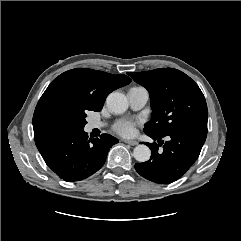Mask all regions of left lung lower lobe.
<instances>
[{
    "mask_svg": "<svg viewBox=\"0 0 241 241\" xmlns=\"http://www.w3.org/2000/svg\"><path fill=\"white\" fill-rule=\"evenodd\" d=\"M153 140L167 137L163 151H158L157 143H147L151 149V158L144 163L135 164L136 171L144 178L158 183L168 184L183 176L197 160L206 140L207 128L195 127L166 136L147 134Z\"/></svg>",
    "mask_w": 241,
    "mask_h": 241,
    "instance_id": "left-lung-lower-lobe-1",
    "label": "left lung lower lobe"
}]
</instances>
